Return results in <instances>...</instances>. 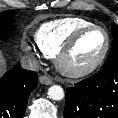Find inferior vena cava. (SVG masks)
Segmentation results:
<instances>
[{
	"instance_id": "obj_1",
	"label": "inferior vena cava",
	"mask_w": 118,
	"mask_h": 118,
	"mask_svg": "<svg viewBox=\"0 0 118 118\" xmlns=\"http://www.w3.org/2000/svg\"><path fill=\"white\" fill-rule=\"evenodd\" d=\"M21 66L24 69L37 71L39 69V63L34 56H23L21 58Z\"/></svg>"
}]
</instances>
